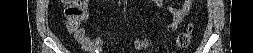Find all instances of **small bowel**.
Masks as SVG:
<instances>
[{
    "mask_svg": "<svg viewBox=\"0 0 253 53\" xmlns=\"http://www.w3.org/2000/svg\"><path fill=\"white\" fill-rule=\"evenodd\" d=\"M194 1L193 0H185L183 1L181 8H175V7H169L168 10L172 14V21L168 26L169 31L175 30L181 23L184 16L188 14L191 7L193 6ZM75 37L76 39L81 43L82 47L86 51H92L93 43L90 40V38L87 36L86 29L84 27H80L75 31ZM148 44L149 42L146 41Z\"/></svg>",
    "mask_w": 253,
    "mask_h": 53,
    "instance_id": "small-bowel-1",
    "label": "small bowel"
}]
</instances>
